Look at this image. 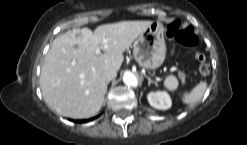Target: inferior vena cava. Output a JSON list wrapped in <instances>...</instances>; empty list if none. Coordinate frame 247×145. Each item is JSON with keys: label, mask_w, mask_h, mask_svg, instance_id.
I'll return each mask as SVG.
<instances>
[{"label": "inferior vena cava", "mask_w": 247, "mask_h": 145, "mask_svg": "<svg viewBox=\"0 0 247 145\" xmlns=\"http://www.w3.org/2000/svg\"><path fill=\"white\" fill-rule=\"evenodd\" d=\"M117 76V71L115 69L112 68H105L102 71V77L106 82L111 81L112 79H114Z\"/></svg>", "instance_id": "obj_1"}]
</instances>
